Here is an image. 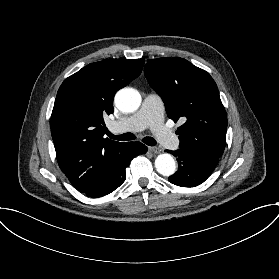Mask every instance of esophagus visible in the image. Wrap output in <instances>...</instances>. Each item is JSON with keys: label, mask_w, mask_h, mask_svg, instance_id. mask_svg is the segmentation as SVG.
<instances>
[{"label": "esophagus", "mask_w": 279, "mask_h": 279, "mask_svg": "<svg viewBox=\"0 0 279 279\" xmlns=\"http://www.w3.org/2000/svg\"><path fill=\"white\" fill-rule=\"evenodd\" d=\"M148 149H149L150 152H152V153H154V154H158V153L161 152V149L158 148V147H152V146H151V147H149Z\"/></svg>", "instance_id": "1"}]
</instances>
